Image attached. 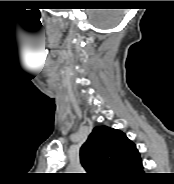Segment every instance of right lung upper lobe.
Listing matches in <instances>:
<instances>
[{"label": "right lung upper lobe", "instance_id": "1", "mask_svg": "<svg viewBox=\"0 0 174 184\" xmlns=\"http://www.w3.org/2000/svg\"><path fill=\"white\" fill-rule=\"evenodd\" d=\"M135 144L117 129L97 126L80 149V160L92 180L117 181L131 163L139 158Z\"/></svg>", "mask_w": 174, "mask_h": 184}]
</instances>
